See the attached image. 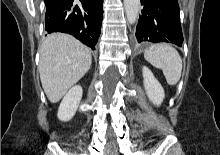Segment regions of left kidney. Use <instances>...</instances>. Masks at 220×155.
Masks as SVG:
<instances>
[{"label": "left kidney", "instance_id": "1", "mask_svg": "<svg viewBox=\"0 0 220 155\" xmlns=\"http://www.w3.org/2000/svg\"><path fill=\"white\" fill-rule=\"evenodd\" d=\"M144 87L147 92L148 98L157 106H159L164 97V89L159 81L154 77L153 73L146 66L143 67Z\"/></svg>", "mask_w": 220, "mask_h": 155}]
</instances>
